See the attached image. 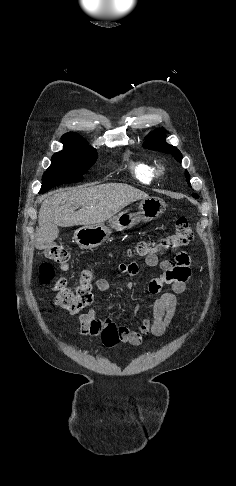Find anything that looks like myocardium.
<instances>
[{
	"instance_id": "1",
	"label": "myocardium",
	"mask_w": 236,
	"mask_h": 486,
	"mask_svg": "<svg viewBox=\"0 0 236 486\" xmlns=\"http://www.w3.org/2000/svg\"><path fill=\"white\" fill-rule=\"evenodd\" d=\"M158 171H159V173H163L164 172V167L160 166Z\"/></svg>"
}]
</instances>
